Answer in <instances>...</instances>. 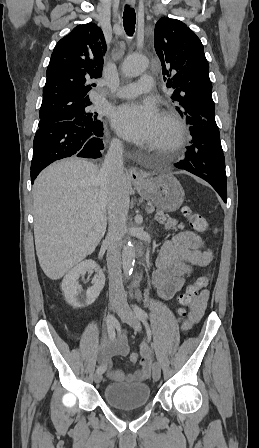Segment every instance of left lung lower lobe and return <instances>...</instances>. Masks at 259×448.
<instances>
[{
	"label": "left lung lower lobe",
	"mask_w": 259,
	"mask_h": 448,
	"mask_svg": "<svg viewBox=\"0 0 259 448\" xmlns=\"http://www.w3.org/2000/svg\"><path fill=\"white\" fill-rule=\"evenodd\" d=\"M186 121L191 125L192 145L187 147L185 159L175 167L206 180L226 203L225 157L216 121L200 115L187 116Z\"/></svg>",
	"instance_id": "0a47b994"
}]
</instances>
